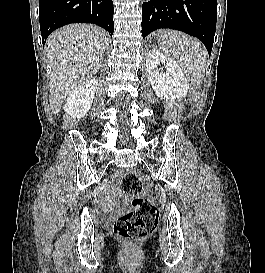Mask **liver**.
<instances>
[{"label": "liver", "mask_w": 265, "mask_h": 273, "mask_svg": "<svg viewBox=\"0 0 265 273\" xmlns=\"http://www.w3.org/2000/svg\"><path fill=\"white\" fill-rule=\"evenodd\" d=\"M107 34L89 24H71L53 32L46 51L51 66L50 105L58 113L66 97L94 76L108 47Z\"/></svg>", "instance_id": "6515ba94"}]
</instances>
